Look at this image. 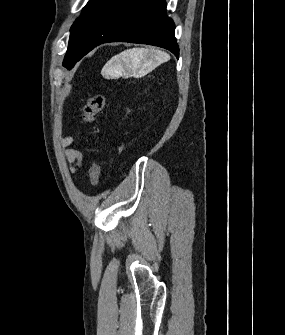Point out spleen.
<instances>
[{
  "label": "spleen",
  "mask_w": 285,
  "mask_h": 335,
  "mask_svg": "<svg viewBox=\"0 0 285 335\" xmlns=\"http://www.w3.org/2000/svg\"><path fill=\"white\" fill-rule=\"evenodd\" d=\"M122 62H129L133 70L136 68H156L163 62L170 60L169 54L160 52V50H146V48H134V50H127L120 54ZM116 68V66H115Z\"/></svg>",
  "instance_id": "obj_1"
}]
</instances>
